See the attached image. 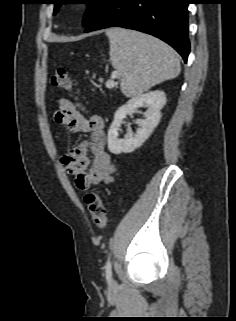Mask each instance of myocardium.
Instances as JSON below:
<instances>
[{
  "label": "myocardium",
  "mask_w": 236,
  "mask_h": 321,
  "mask_svg": "<svg viewBox=\"0 0 236 321\" xmlns=\"http://www.w3.org/2000/svg\"><path fill=\"white\" fill-rule=\"evenodd\" d=\"M70 8L73 13L81 14L87 12L90 9V5L85 3H76L71 5Z\"/></svg>",
  "instance_id": "obj_1"
}]
</instances>
